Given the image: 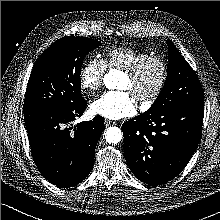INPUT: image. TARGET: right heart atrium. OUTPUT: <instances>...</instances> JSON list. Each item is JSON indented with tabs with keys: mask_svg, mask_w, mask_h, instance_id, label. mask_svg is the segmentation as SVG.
I'll list each match as a JSON object with an SVG mask.
<instances>
[{
	"mask_svg": "<svg viewBox=\"0 0 220 220\" xmlns=\"http://www.w3.org/2000/svg\"><path fill=\"white\" fill-rule=\"evenodd\" d=\"M106 72V64L103 60L92 57L88 59L79 72V84L83 91L97 92L103 83Z\"/></svg>",
	"mask_w": 220,
	"mask_h": 220,
	"instance_id": "obj_1",
	"label": "right heart atrium"
}]
</instances>
